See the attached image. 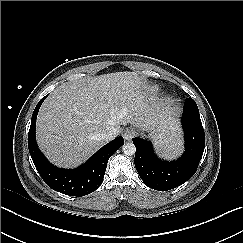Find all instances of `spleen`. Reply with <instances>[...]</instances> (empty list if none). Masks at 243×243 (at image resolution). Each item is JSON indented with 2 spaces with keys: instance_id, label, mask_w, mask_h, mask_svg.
Wrapping results in <instances>:
<instances>
[{
  "instance_id": "3e777b00",
  "label": "spleen",
  "mask_w": 243,
  "mask_h": 243,
  "mask_svg": "<svg viewBox=\"0 0 243 243\" xmlns=\"http://www.w3.org/2000/svg\"><path fill=\"white\" fill-rule=\"evenodd\" d=\"M161 150L165 158H175L182 151L181 140L175 136L170 140L163 142Z\"/></svg>"
}]
</instances>
